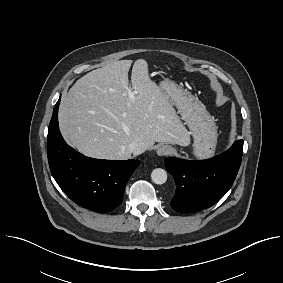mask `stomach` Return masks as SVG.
<instances>
[{"label": "stomach", "mask_w": 283, "mask_h": 283, "mask_svg": "<svg viewBox=\"0 0 283 283\" xmlns=\"http://www.w3.org/2000/svg\"><path fill=\"white\" fill-rule=\"evenodd\" d=\"M160 87L176 106L193 138V154L199 159L214 155L217 144V126L205 106L190 92L172 81H162Z\"/></svg>", "instance_id": "1"}]
</instances>
